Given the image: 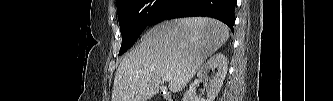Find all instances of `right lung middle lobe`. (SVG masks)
<instances>
[{"label":"right lung middle lobe","mask_w":333,"mask_h":101,"mask_svg":"<svg viewBox=\"0 0 333 101\" xmlns=\"http://www.w3.org/2000/svg\"><path fill=\"white\" fill-rule=\"evenodd\" d=\"M167 0H119L118 20L122 35L119 55L126 52L146 27L153 25Z\"/></svg>","instance_id":"right-lung-middle-lobe-1"}]
</instances>
